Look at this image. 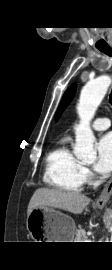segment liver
<instances>
[{
	"label": "liver",
	"mask_w": 112,
	"mask_h": 270,
	"mask_svg": "<svg viewBox=\"0 0 112 270\" xmlns=\"http://www.w3.org/2000/svg\"><path fill=\"white\" fill-rule=\"evenodd\" d=\"M89 202L90 198L78 192L39 188L30 199L27 215L37 207H53L73 214H81Z\"/></svg>",
	"instance_id": "1"
}]
</instances>
